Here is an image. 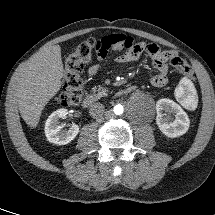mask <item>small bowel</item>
<instances>
[{"mask_svg":"<svg viewBox=\"0 0 215 215\" xmlns=\"http://www.w3.org/2000/svg\"><path fill=\"white\" fill-rule=\"evenodd\" d=\"M97 44V62L91 65L87 70V75L92 80L102 67L108 51H121L123 53L115 58L117 63H130L138 60L142 54L146 53L153 61L156 74L152 76L150 82L156 88H162L168 83V62L170 57L176 53L173 51L162 50L154 43L137 42L132 37L124 34H110L101 37L96 41Z\"/></svg>","mask_w":215,"mask_h":215,"instance_id":"c3829d8e","label":"small bowel"}]
</instances>
